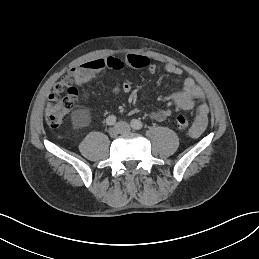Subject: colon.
<instances>
[{
	"label": "colon",
	"instance_id": "colon-1",
	"mask_svg": "<svg viewBox=\"0 0 259 259\" xmlns=\"http://www.w3.org/2000/svg\"><path fill=\"white\" fill-rule=\"evenodd\" d=\"M80 98V93L72 85L70 77H66L56 83L49 95L48 103L45 110V118L48 126L52 128L59 127L67 113L74 107ZM178 129L185 131L191 126L188 116L179 114L176 117Z\"/></svg>",
	"mask_w": 259,
	"mask_h": 259
}]
</instances>
